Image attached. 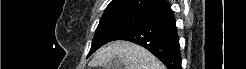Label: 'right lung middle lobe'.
I'll return each mask as SVG.
<instances>
[{
	"mask_svg": "<svg viewBox=\"0 0 246 69\" xmlns=\"http://www.w3.org/2000/svg\"><path fill=\"white\" fill-rule=\"evenodd\" d=\"M142 20V15H122L101 19L96 29L88 57L102 45L113 41L120 34L132 28Z\"/></svg>",
	"mask_w": 246,
	"mask_h": 69,
	"instance_id": "1",
	"label": "right lung middle lobe"
}]
</instances>
